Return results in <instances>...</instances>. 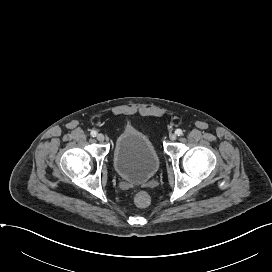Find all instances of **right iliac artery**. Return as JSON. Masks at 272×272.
<instances>
[{
	"instance_id": "1",
	"label": "right iliac artery",
	"mask_w": 272,
	"mask_h": 272,
	"mask_svg": "<svg viewBox=\"0 0 272 272\" xmlns=\"http://www.w3.org/2000/svg\"><path fill=\"white\" fill-rule=\"evenodd\" d=\"M90 134L92 137H95L97 135V132L95 130H92Z\"/></svg>"
}]
</instances>
